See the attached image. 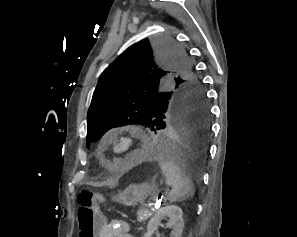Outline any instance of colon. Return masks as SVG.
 Returning <instances> with one entry per match:
<instances>
[{
    "instance_id": "colon-1",
    "label": "colon",
    "mask_w": 297,
    "mask_h": 237,
    "mask_svg": "<svg viewBox=\"0 0 297 237\" xmlns=\"http://www.w3.org/2000/svg\"><path fill=\"white\" fill-rule=\"evenodd\" d=\"M77 200L79 237H97L103 223L99 207L105 202V198L99 193L83 190L78 194Z\"/></svg>"
}]
</instances>
